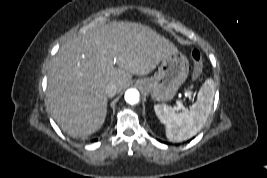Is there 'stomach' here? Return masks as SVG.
Segmentation results:
<instances>
[{
    "instance_id": "1",
    "label": "stomach",
    "mask_w": 267,
    "mask_h": 178,
    "mask_svg": "<svg viewBox=\"0 0 267 178\" xmlns=\"http://www.w3.org/2000/svg\"><path fill=\"white\" fill-rule=\"evenodd\" d=\"M189 61L178 50L167 54L160 63L154 77H143L137 80V85L148 93L155 101L173 99L179 87L187 79Z\"/></svg>"
}]
</instances>
